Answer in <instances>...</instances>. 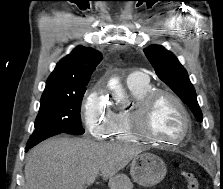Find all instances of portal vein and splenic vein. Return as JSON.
Returning a JSON list of instances; mask_svg holds the SVG:
<instances>
[{
  "label": "portal vein and splenic vein",
  "instance_id": "portal-vein-and-splenic-vein-1",
  "mask_svg": "<svg viewBox=\"0 0 223 189\" xmlns=\"http://www.w3.org/2000/svg\"><path fill=\"white\" fill-rule=\"evenodd\" d=\"M96 177H91L90 179L87 180V184L90 185L95 181Z\"/></svg>",
  "mask_w": 223,
  "mask_h": 189
}]
</instances>
